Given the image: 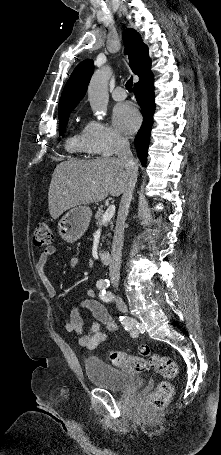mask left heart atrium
<instances>
[{"mask_svg":"<svg viewBox=\"0 0 221 455\" xmlns=\"http://www.w3.org/2000/svg\"><path fill=\"white\" fill-rule=\"evenodd\" d=\"M113 122L118 130L131 134L140 125L141 116L131 103L118 104L113 110Z\"/></svg>","mask_w":221,"mask_h":455,"instance_id":"left-heart-atrium-1","label":"left heart atrium"}]
</instances>
